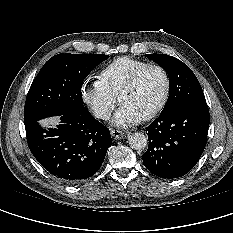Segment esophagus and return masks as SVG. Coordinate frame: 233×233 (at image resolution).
<instances>
[{"mask_svg":"<svg viewBox=\"0 0 233 233\" xmlns=\"http://www.w3.org/2000/svg\"><path fill=\"white\" fill-rule=\"evenodd\" d=\"M110 133L114 139H122L126 136V133L120 130L111 129Z\"/></svg>","mask_w":233,"mask_h":233,"instance_id":"obj_1","label":"esophagus"}]
</instances>
